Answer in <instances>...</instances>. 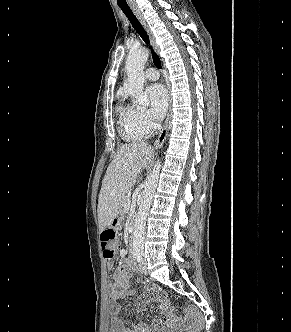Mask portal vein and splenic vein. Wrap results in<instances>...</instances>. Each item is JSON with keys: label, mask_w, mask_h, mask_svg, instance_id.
<instances>
[{"label": "portal vein and splenic vein", "mask_w": 291, "mask_h": 332, "mask_svg": "<svg viewBox=\"0 0 291 332\" xmlns=\"http://www.w3.org/2000/svg\"><path fill=\"white\" fill-rule=\"evenodd\" d=\"M130 204H131V202H130V198H128L127 201H126V203H125V208H126V209H129Z\"/></svg>", "instance_id": "obj_1"}]
</instances>
